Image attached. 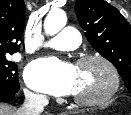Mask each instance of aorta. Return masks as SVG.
Here are the masks:
<instances>
[{"instance_id": "762f6f07", "label": "aorta", "mask_w": 131, "mask_h": 115, "mask_svg": "<svg viewBox=\"0 0 131 115\" xmlns=\"http://www.w3.org/2000/svg\"><path fill=\"white\" fill-rule=\"evenodd\" d=\"M67 23L64 11L54 10L49 12L44 21V30L49 35L58 33Z\"/></svg>"}]
</instances>
